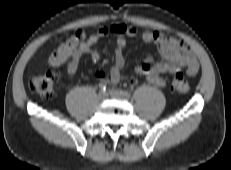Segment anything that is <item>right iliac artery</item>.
Masks as SVG:
<instances>
[{
	"label": "right iliac artery",
	"mask_w": 231,
	"mask_h": 170,
	"mask_svg": "<svg viewBox=\"0 0 231 170\" xmlns=\"http://www.w3.org/2000/svg\"><path fill=\"white\" fill-rule=\"evenodd\" d=\"M99 87H100V89H101L103 92H105L106 89H107V85H106V83H104V82H100V83H99Z\"/></svg>",
	"instance_id": "1"
}]
</instances>
